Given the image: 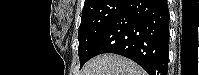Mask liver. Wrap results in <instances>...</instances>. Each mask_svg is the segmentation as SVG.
<instances>
[{
  "mask_svg": "<svg viewBox=\"0 0 199 75\" xmlns=\"http://www.w3.org/2000/svg\"><path fill=\"white\" fill-rule=\"evenodd\" d=\"M81 75H146V72L125 57L103 54L89 60Z\"/></svg>",
  "mask_w": 199,
  "mask_h": 75,
  "instance_id": "6515ba94",
  "label": "liver"
}]
</instances>
